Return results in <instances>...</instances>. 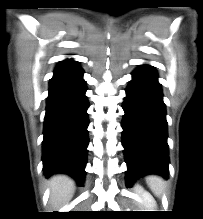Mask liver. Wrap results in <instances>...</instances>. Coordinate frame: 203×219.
<instances>
[{
    "mask_svg": "<svg viewBox=\"0 0 203 219\" xmlns=\"http://www.w3.org/2000/svg\"><path fill=\"white\" fill-rule=\"evenodd\" d=\"M50 204L54 210L65 205L73 196L75 182L67 175H55L49 180Z\"/></svg>",
    "mask_w": 203,
    "mask_h": 219,
    "instance_id": "liver-1",
    "label": "liver"
}]
</instances>
